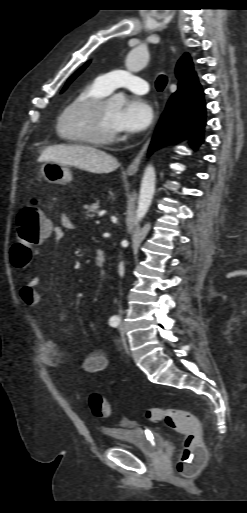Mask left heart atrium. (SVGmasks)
<instances>
[{
  "instance_id": "39dd6f15",
  "label": "left heart atrium",
  "mask_w": 247,
  "mask_h": 513,
  "mask_svg": "<svg viewBox=\"0 0 247 513\" xmlns=\"http://www.w3.org/2000/svg\"><path fill=\"white\" fill-rule=\"evenodd\" d=\"M153 117L151 105L142 98L133 97L117 113L114 128L116 132H140L152 123Z\"/></svg>"
}]
</instances>
